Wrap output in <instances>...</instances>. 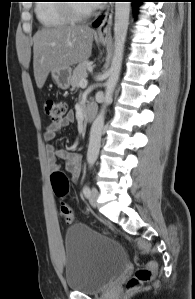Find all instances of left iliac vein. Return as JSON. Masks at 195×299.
Here are the masks:
<instances>
[{
    "mask_svg": "<svg viewBox=\"0 0 195 299\" xmlns=\"http://www.w3.org/2000/svg\"><path fill=\"white\" fill-rule=\"evenodd\" d=\"M98 197H99V191H98L97 188L93 187L91 189L90 196H89V202H90L92 207L97 206Z\"/></svg>",
    "mask_w": 195,
    "mask_h": 299,
    "instance_id": "4c4485c4",
    "label": "left iliac vein"
}]
</instances>
